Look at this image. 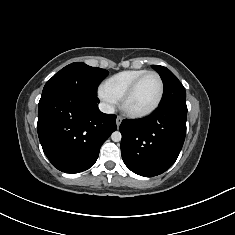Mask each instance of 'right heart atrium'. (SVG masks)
<instances>
[{"label": "right heart atrium", "mask_w": 235, "mask_h": 235, "mask_svg": "<svg viewBox=\"0 0 235 235\" xmlns=\"http://www.w3.org/2000/svg\"><path fill=\"white\" fill-rule=\"evenodd\" d=\"M97 94L106 110L112 111L117 106L118 100L103 86L98 88Z\"/></svg>", "instance_id": "right-heart-atrium-1"}]
</instances>
